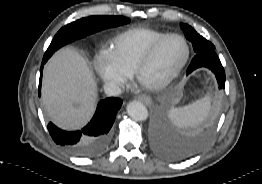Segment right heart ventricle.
Returning <instances> with one entry per match:
<instances>
[{
    "label": "right heart ventricle",
    "instance_id": "e07e8e85",
    "mask_svg": "<svg viewBox=\"0 0 262 184\" xmlns=\"http://www.w3.org/2000/svg\"><path fill=\"white\" fill-rule=\"evenodd\" d=\"M166 34L149 28L129 29L113 39L110 53L124 71L132 74L147 50Z\"/></svg>",
    "mask_w": 262,
    "mask_h": 184
}]
</instances>
